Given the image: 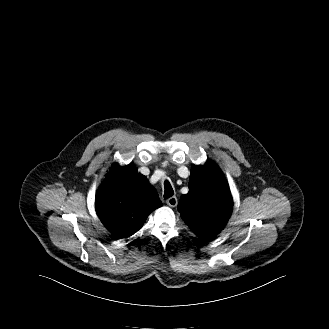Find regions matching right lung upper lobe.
<instances>
[{
    "label": "right lung upper lobe",
    "mask_w": 329,
    "mask_h": 329,
    "mask_svg": "<svg viewBox=\"0 0 329 329\" xmlns=\"http://www.w3.org/2000/svg\"><path fill=\"white\" fill-rule=\"evenodd\" d=\"M162 206L155 189L145 176L129 164H114L95 197L98 217L118 238L137 232L148 215Z\"/></svg>",
    "instance_id": "cb5924a9"
}]
</instances>
